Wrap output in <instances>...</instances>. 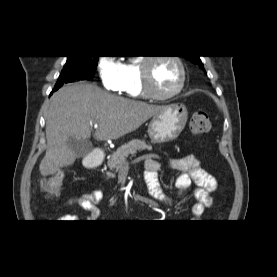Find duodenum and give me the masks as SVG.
<instances>
[{
  "mask_svg": "<svg viewBox=\"0 0 277 277\" xmlns=\"http://www.w3.org/2000/svg\"><path fill=\"white\" fill-rule=\"evenodd\" d=\"M104 160V155L99 150L91 151L84 160V166L87 169H96L101 166Z\"/></svg>",
  "mask_w": 277,
  "mask_h": 277,
  "instance_id": "410a0bca",
  "label": "duodenum"
}]
</instances>
